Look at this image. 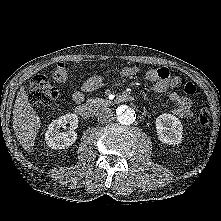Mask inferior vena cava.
<instances>
[{
  "label": "inferior vena cava",
  "mask_w": 221,
  "mask_h": 221,
  "mask_svg": "<svg viewBox=\"0 0 221 221\" xmlns=\"http://www.w3.org/2000/svg\"><path fill=\"white\" fill-rule=\"evenodd\" d=\"M96 116L99 122L103 123H107L110 121V119L113 116L112 110L108 107H100L97 112H96Z\"/></svg>",
  "instance_id": "602c4592"
}]
</instances>
